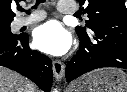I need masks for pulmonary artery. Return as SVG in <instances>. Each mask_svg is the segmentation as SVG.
Masks as SVG:
<instances>
[{
	"mask_svg": "<svg viewBox=\"0 0 127 92\" xmlns=\"http://www.w3.org/2000/svg\"><path fill=\"white\" fill-rule=\"evenodd\" d=\"M58 11L63 14H68L76 11V7L70 3L59 1L58 2ZM46 17L45 13L41 10H36L27 17H19L15 20V25L17 28L33 24L40 20H43Z\"/></svg>",
	"mask_w": 127,
	"mask_h": 92,
	"instance_id": "1",
	"label": "pulmonary artery"
}]
</instances>
